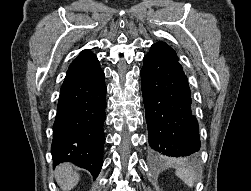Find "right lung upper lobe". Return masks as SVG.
<instances>
[{"mask_svg": "<svg viewBox=\"0 0 251 191\" xmlns=\"http://www.w3.org/2000/svg\"><path fill=\"white\" fill-rule=\"evenodd\" d=\"M100 73L97 57L90 50H83L69 66L61 89L82 83Z\"/></svg>", "mask_w": 251, "mask_h": 191, "instance_id": "obj_1", "label": "right lung upper lobe"}]
</instances>
